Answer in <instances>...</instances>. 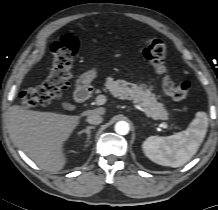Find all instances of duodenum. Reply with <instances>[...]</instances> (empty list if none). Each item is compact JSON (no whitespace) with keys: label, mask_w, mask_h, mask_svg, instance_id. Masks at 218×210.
Listing matches in <instances>:
<instances>
[{"label":"duodenum","mask_w":218,"mask_h":210,"mask_svg":"<svg viewBox=\"0 0 218 210\" xmlns=\"http://www.w3.org/2000/svg\"><path fill=\"white\" fill-rule=\"evenodd\" d=\"M89 87L90 85L86 81L81 80L79 82L74 95L78 104L85 103L91 97V89Z\"/></svg>","instance_id":"410a0bca"}]
</instances>
